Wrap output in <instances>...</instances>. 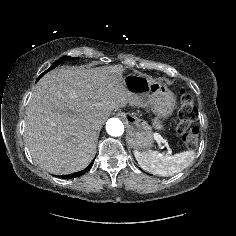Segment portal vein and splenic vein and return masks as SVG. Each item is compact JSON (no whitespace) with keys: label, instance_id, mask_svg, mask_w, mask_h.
<instances>
[{"label":"portal vein and splenic vein","instance_id":"obj_1","mask_svg":"<svg viewBox=\"0 0 236 236\" xmlns=\"http://www.w3.org/2000/svg\"><path fill=\"white\" fill-rule=\"evenodd\" d=\"M155 139L159 142V143H164L166 146H168L167 141L159 134H155ZM170 152V150L168 151Z\"/></svg>","mask_w":236,"mask_h":236}]
</instances>
